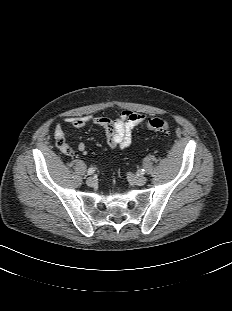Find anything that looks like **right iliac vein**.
<instances>
[{"label": "right iliac vein", "mask_w": 232, "mask_h": 311, "mask_svg": "<svg viewBox=\"0 0 232 311\" xmlns=\"http://www.w3.org/2000/svg\"><path fill=\"white\" fill-rule=\"evenodd\" d=\"M88 186H94L96 184V179L93 176H90L86 180Z\"/></svg>", "instance_id": "63e3f726"}]
</instances>
